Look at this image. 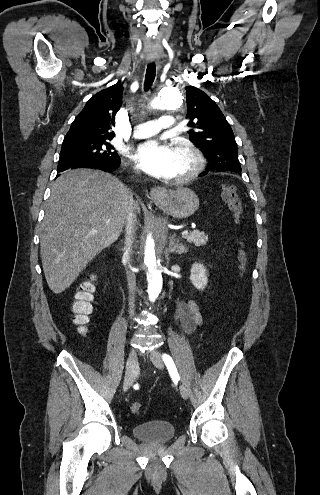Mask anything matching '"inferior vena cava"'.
I'll return each instance as SVG.
<instances>
[{
    "instance_id": "1",
    "label": "inferior vena cava",
    "mask_w": 320,
    "mask_h": 495,
    "mask_svg": "<svg viewBox=\"0 0 320 495\" xmlns=\"http://www.w3.org/2000/svg\"><path fill=\"white\" fill-rule=\"evenodd\" d=\"M137 226V217L135 213V205L132 194H129V204L127 208L126 220H125V246L124 251L126 255H129L132 249V245L135 240ZM127 282L129 288V313L134 315V302H135V286L136 278L130 270H126Z\"/></svg>"
}]
</instances>
